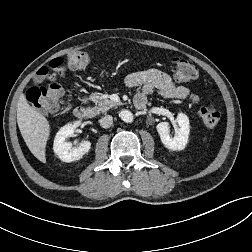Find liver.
<instances>
[{"mask_svg":"<svg viewBox=\"0 0 252 252\" xmlns=\"http://www.w3.org/2000/svg\"><path fill=\"white\" fill-rule=\"evenodd\" d=\"M17 123L31 153L45 163L50 124L37 109L28 104L24 94L20 95L17 104Z\"/></svg>","mask_w":252,"mask_h":252,"instance_id":"1","label":"liver"}]
</instances>
